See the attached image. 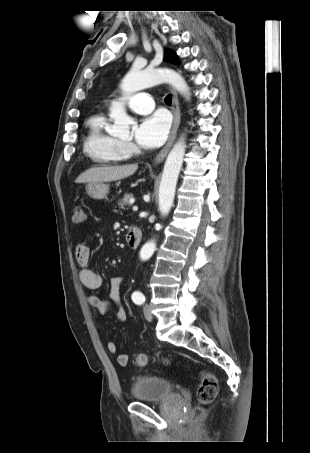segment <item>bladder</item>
I'll list each match as a JSON object with an SVG mask.
<instances>
[{"mask_svg": "<svg viewBox=\"0 0 310 453\" xmlns=\"http://www.w3.org/2000/svg\"><path fill=\"white\" fill-rule=\"evenodd\" d=\"M175 395L172 383L160 376L137 377L131 386V396L138 402L163 401Z\"/></svg>", "mask_w": 310, "mask_h": 453, "instance_id": "bladder-1", "label": "bladder"}]
</instances>
